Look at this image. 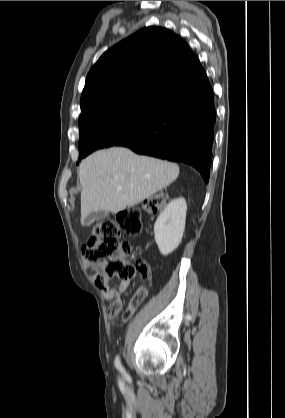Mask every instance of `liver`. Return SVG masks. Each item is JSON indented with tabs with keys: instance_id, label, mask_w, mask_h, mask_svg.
<instances>
[{
	"instance_id": "6515ba94",
	"label": "liver",
	"mask_w": 285,
	"mask_h": 418,
	"mask_svg": "<svg viewBox=\"0 0 285 418\" xmlns=\"http://www.w3.org/2000/svg\"><path fill=\"white\" fill-rule=\"evenodd\" d=\"M81 221L90 213H118L171 184L179 175L175 163L140 156L128 148L99 150L79 166Z\"/></svg>"
}]
</instances>
